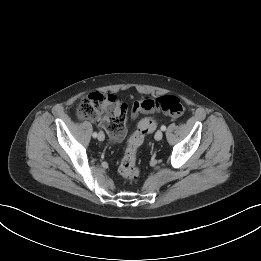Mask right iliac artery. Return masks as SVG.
Segmentation results:
<instances>
[{"label": "right iliac artery", "mask_w": 261, "mask_h": 261, "mask_svg": "<svg viewBox=\"0 0 261 261\" xmlns=\"http://www.w3.org/2000/svg\"><path fill=\"white\" fill-rule=\"evenodd\" d=\"M92 135L94 138H96L98 136V134L96 132H94Z\"/></svg>", "instance_id": "right-iliac-artery-1"}]
</instances>
